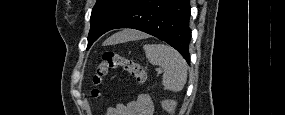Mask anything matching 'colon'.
<instances>
[{
  "label": "colon",
  "mask_w": 285,
  "mask_h": 115,
  "mask_svg": "<svg viewBox=\"0 0 285 115\" xmlns=\"http://www.w3.org/2000/svg\"><path fill=\"white\" fill-rule=\"evenodd\" d=\"M118 68L128 73L139 84H144L147 82V72L139 63L120 56L114 52L108 51L103 54L102 60L97 63L95 73L92 78L94 85L92 96L94 98L99 97V87L102 84L104 78L110 73V71Z\"/></svg>",
  "instance_id": "1"
}]
</instances>
